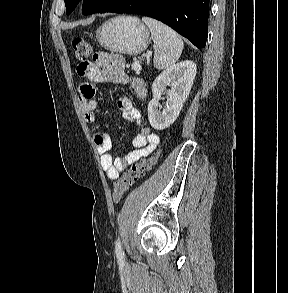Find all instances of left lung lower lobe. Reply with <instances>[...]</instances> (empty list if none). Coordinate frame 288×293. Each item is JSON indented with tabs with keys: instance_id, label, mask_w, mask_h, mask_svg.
<instances>
[{
	"instance_id": "0a47b994",
	"label": "left lung lower lobe",
	"mask_w": 288,
	"mask_h": 293,
	"mask_svg": "<svg viewBox=\"0 0 288 293\" xmlns=\"http://www.w3.org/2000/svg\"><path fill=\"white\" fill-rule=\"evenodd\" d=\"M210 0H118L100 13H132L157 19L197 48L206 45Z\"/></svg>"
}]
</instances>
